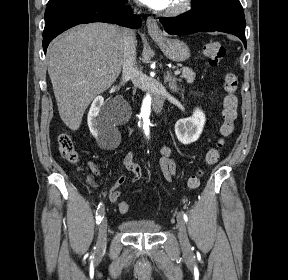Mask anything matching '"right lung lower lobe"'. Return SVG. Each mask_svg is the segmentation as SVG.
I'll return each instance as SVG.
<instances>
[{
	"mask_svg": "<svg viewBox=\"0 0 288 280\" xmlns=\"http://www.w3.org/2000/svg\"><path fill=\"white\" fill-rule=\"evenodd\" d=\"M127 0H49L45 11V28L43 31V49L58 34L81 24L106 22L139 28L141 19L134 15Z\"/></svg>",
	"mask_w": 288,
	"mask_h": 280,
	"instance_id": "98d812e1",
	"label": "right lung lower lobe"
}]
</instances>
